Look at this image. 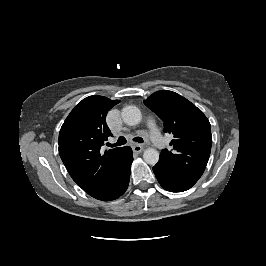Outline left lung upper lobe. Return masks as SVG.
I'll use <instances>...</instances> for the list:
<instances>
[{"mask_svg": "<svg viewBox=\"0 0 266 266\" xmlns=\"http://www.w3.org/2000/svg\"><path fill=\"white\" fill-rule=\"evenodd\" d=\"M144 104L164 122L172 134V150H162L159 163L182 176L201 177L209 160L212 135L202 111L183 96L168 90L153 93Z\"/></svg>", "mask_w": 266, "mask_h": 266, "instance_id": "5c2ea615", "label": "left lung upper lobe"}]
</instances>
